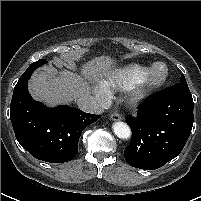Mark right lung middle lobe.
Returning <instances> with one entry per match:
<instances>
[{
    "label": "right lung middle lobe",
    "instance_id": "right-lung-middle-lobe-1",
    "mask_svg": "<svg viewBox=\"0 0 201 201\" xmlns=\"http://www.w3.org/2000/svg\"><path fill=\"white\" fill-rule=\"evenodd\" d=\"M45 63H47V61H46L45 59H40V60H38V61L32 63L30 66L39 67V66H41V65H43V64H45Z\"/></svg>",
    "mask_w": 201,
    "mask_h": 201
}]
</instances>
